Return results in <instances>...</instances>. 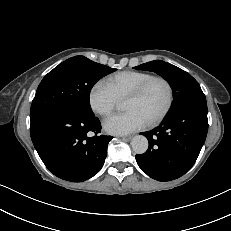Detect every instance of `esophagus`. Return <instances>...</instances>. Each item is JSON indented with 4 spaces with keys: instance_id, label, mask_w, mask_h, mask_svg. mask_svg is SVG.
<instances>
[{
    "instance_id": "1",
    "label": "esophagus",
    "mask_w": 231,
    "mask_h": 231,
    "mask_svg": "<svg viewBox=\"0 0 231 231\" xmlns=\"http://www.w3.org/2000/svg\"><path fill=\"white\" fill-rule=\"evenodd\" d=\"M132 138V136H122V139L124 140H130Z\"/></svg>"
}]
</instances>
